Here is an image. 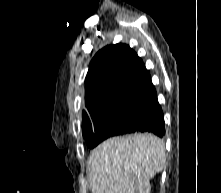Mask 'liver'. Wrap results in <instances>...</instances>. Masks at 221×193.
<instances>
[{"mask_svg": "<svg viewBox=\"0 0 221 193\" xmlns=\"http://www.w3.org/2000/svg\"><path fill=\"white\" fill-rule=\"evenodd\" d=\"M165 144L153 134L112 137L90 153L92 193H150V179L163 170Z\"/></svg>", "mask_w": 221, "mask_h": 193, "instance_id": "obj_1", "label": "liver"}]
</instances>
